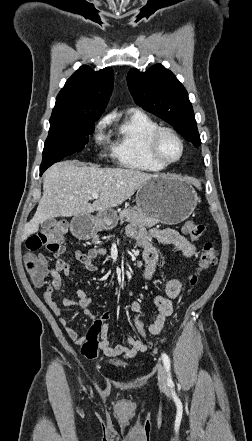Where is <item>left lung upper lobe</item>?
I'll return each mask as SVG.
<instances>
[{
  "mask_svg": "<svg viewBox=\"0 0 252 441\" xmlns=\"http://www.w3.org/2000/svg\"><path fill=\"white\" fill-rule=\"evenodd\" d=\"M127 83L136 104L173 125L194 146L201 144L187 91L170 70L161 64L144 73L133 68Z\"/></svg>",
  "mask_w": 252,
  "mask_h": 441,
  "instance_id": "left-lung-upper-lobe-1",
  "label": "left lung upper lobe"
}]
</instances>
